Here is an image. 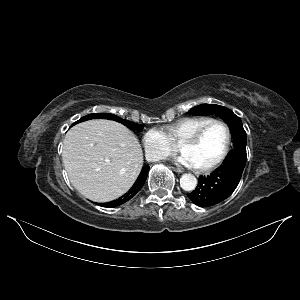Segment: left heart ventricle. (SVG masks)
I'll use <instances>...</instances> for the list:
<instances>
[{
	"label": "left heart ventricle",
	"instance_id": "obj_1",
	"mask_svg": "<svg viewBox=\"0 0 300 300\" xmlns=\"http://www.w3.org/2000/svg\"><path fill=\"white\" fill-rule=\"evenodd\" d=\"M226 138L225 128L215 124L206 130L198 143L184 147L182 152L191 158L195 167L207 166L221 156Z\"/></svg>",
	"mask_w": 300,
	"mask_h": 300
}]
</instances>
